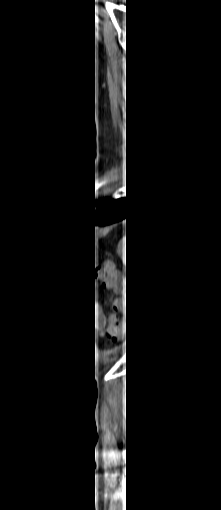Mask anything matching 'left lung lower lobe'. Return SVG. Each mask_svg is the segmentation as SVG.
I'll use <instances>...</instances> for the list:
<instances>
[{
    "mask_svg": "<svg viewBox=\"0 0 221 510\" xmlns=\"http://www.w3.org/2000/svg\"><path fill=\"white\" fill-rule=\"evenodd\" d=\"M140 203V195L136 192L127 191L126 195H121L117 200H113L106 207L89 211L84 220L87 227L95 225H108L123 219H136L137 223L134 229L135 237L139 241V247L142 249L144 239L143 217ZM139 248V249H140Z\"/></svg>",
    "mask_w": 221,
    "mask_h": 510,
    "instance_id": "left-lung-lower-lobe-1",
    "label": "left lung lower lobe"
}]
</instances>
